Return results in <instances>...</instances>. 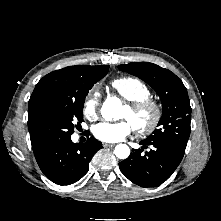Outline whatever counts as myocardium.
<instances>
[{"instance_id": "f54148a6", "label": "myocardium", "mask_w": 221, "mask_h": 221, "mask_svg": "<svg viewBox=\"0 0 221 221\" xmlns=\"http://www.w3.org/2000/svg\"><path fill=\"white\" fill-rule=\"evenodd\" d=\"M133 117L145 112H149V120L144 125L133 124L135 131L140 136H147L153 133L162 118V107L160 103L152 97H147L138 101L130 102L126 105Z\"/></svg>"}]
</instances>
